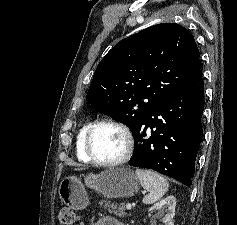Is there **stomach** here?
I'll use <instances>...</instances> for the list:
<instances>
[{
    "mask_svg": "<svg viewBox=\"0 0 237 225\" xmlns=\"http://www.w3.org/2000/svg\"><path fill=\"white\" fill-rule=\"evenodd\" d=\"M87 186L106 198H129L139 191V181L129 168L111 167L99 174L90 173L84 184L77 177H66L59 185L61 201L73 210H82L89 204Z\"/></svg>",
    "mask_w": 237,
    "mask_h": 225,
    "instance_id": "obj_1",
    "label": "stomach"
}]
</instances>
